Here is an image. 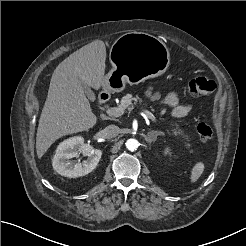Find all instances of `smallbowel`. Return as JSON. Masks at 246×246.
<instances>
[{
    "mask_svg": "<svg viewBox=\"0 0 246 246\" xmlns=\"http://www.w3.org/2000/svg\"><path fill=\"white\" fill-rule=\"evenodd\" d=\"M146 96L153 101L160 97L158 93H153L151 88L146 91ZM164 103L173 108L172 116L177 118L185 117L192 109L190 105H180L178 96L175 93L168 94L164 99Z\"/></svg>",
    "mask_w": 246,
    "mask_h": 246,
    "instance_id": "c3829d8e",
    "label": "small bowel"
}]
</instances>
